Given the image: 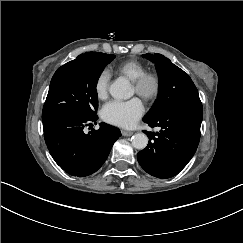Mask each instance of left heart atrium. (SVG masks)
<instances>
[{
	"mask_svg": "<svg viewBox=\"0 0 243 243\" xmlns=\"http://www.w3.org/2000/svg\"><path fill=\"white\" fill-rule=\"evenodd\" d=\"M144 104L138 97L130 100H111L101 109L104 121L117 126L128 127L133 125L143 114Z\"/></svg>",
	"mask_w": 243,
	"mask_h": 243,
	"instance_id": "left-heart-atrium-1",
	"label": "left heart atrium"
}]
</instances>
